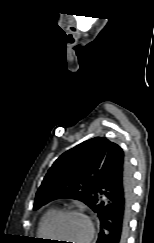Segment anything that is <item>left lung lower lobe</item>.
<instances>
[{
  "label": "left lung lower lobe",
  "mask_w": 154,
  "mask_h": 243,
  "mask_svg": "<svg viewBox=\"0 0 154 243\" xmlns=\"http://www.w3.org/2000/svg\"><path fill=\"white\" fill-rule=\"evenodd\" d=\"M95 211L100 220L96 243H126L131 205L133 176L120 147H112L106 156L95 184Z\"/></svg>",
  "instance_id": "0a47b994"
}]
</instances>
